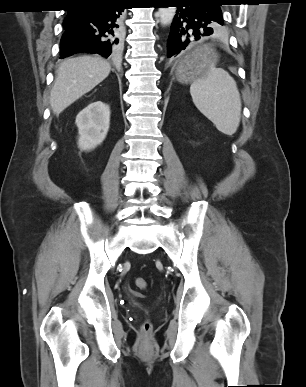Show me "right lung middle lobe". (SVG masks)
<instances>
[{"label": "right lung middle lobe", "mask_w": 306, "mask_h": 387, "mask_svg": "<svg viewBox=\"0 0 306 387\" xmlns=\"http://www.w3.org/2000/svg\"><path fill=\"white\" fill-rule=\"evenodd\" d=\"M68 23H70V21L65 19V21L63 22V25H67Z\"/></svg>", "instance_id": "obj_1"}]
</instances>
